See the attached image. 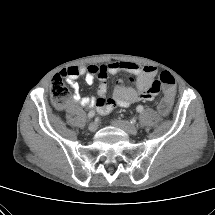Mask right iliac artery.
<instances>
[{
	"mask_svg": "<svg viewBox=\"0 0 215 215\" xmlns=\"http://www.w3.org/2000/svg\"><path fill=\"white\" fill-rule=\"evenodd\" d=\"M94 116H95V112H94V111H90V112L88 113V118H89V119L93 118Z\"/></svg>",
	"mask_w": 215,
	"mask_h": 215,
	"instance_id": "obj_1",
	"label": "right iliac artery"
}]
</instances>
